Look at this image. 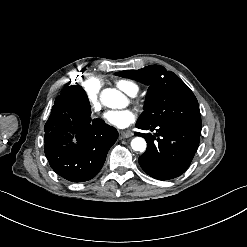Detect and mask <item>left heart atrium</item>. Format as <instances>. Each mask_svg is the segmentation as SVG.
<instances>
[{
    "instance_id": "left-heart-atrium-1",
    "label": "left heart atrium",
    "mask_w": 247,
    "mask_h": 247,
    "mask_svg": "<svg viewBox=\"0 0 247 247\" xmlns=\"http://www.w3.org/2000/svg\"><path fill=\"white\" fill-rule=\"evenodd\" d=\"M137 119V113L132 109L111 110L105 114L108 124L117 128H125Z\"/></svg>"
}]
</instances>
